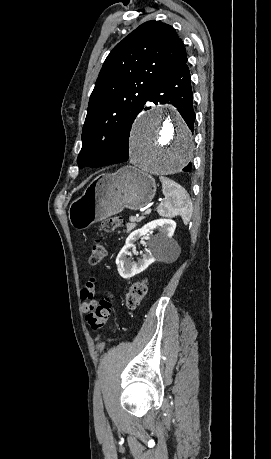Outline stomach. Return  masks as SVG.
<instances>
[{"label": "stomach", "mask_w": 271, "mask_h": 459, "mask_svg": "<svg viewBox=\"0 0 271 459\" xmlns=\"http://www.w3.org/2000/svg\"><path fill=\"white\" fill-rule=\"evenodd\" d=\"M155 194L154 178L133 166H124L115 174H101L81 198L70 204V224L75 229L90 228L91 224L115 216L124 208H144L152 202Z\"/></svg>", "instance_id": "1"}]
</instances>
